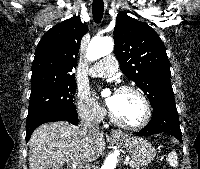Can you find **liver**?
Returning a JSON list of instances; mask_svg holds the SVG:
<instances>
[{
  "mask_svg": "<svg viewBox=\"0 0 200 169\" xmlns=\"http://www.w3.org/2000/svg\"><path fill=\"white\" fill-rule=\"evenodd\" d=\"M29 169H63L65 162L87 164L105 148L101 131L85 133L65 121L39 126L29 141Z\"/></svg>",
  "mask_w": 200,
  "mask_h": 169,
  "instance_id": "obj_1",
  "label": "liver"
}]
</instances>
